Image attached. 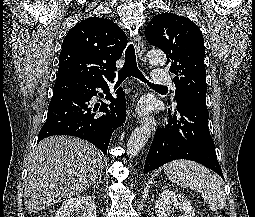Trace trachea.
<instances>
[{
    "mask_svg": "<svg viewBox=\"0 0 255 217\" xmlns=\"http://www.w3.org/2000/svg\"><path fill=\"white\" fill-rule=\"evenodd\" d=\"M130 76L139 79L140 81L146 83L147 85H149L152 88H156V89H165L166 88L165 86L151 84L144 77V75L141 73V71L139 70V68L137 66L135 49H134L133 44H130L126 49L125 64H124L123 68L118 72V80L116 82V85L121 84L127 77H130Z\"/></svg>",
    "mask_w": 255,
    "mask_h": 217,
    "instance_id": "obj_1",
    "label": "trachea"
}]
</instances>
